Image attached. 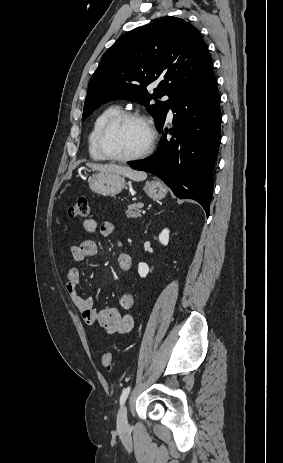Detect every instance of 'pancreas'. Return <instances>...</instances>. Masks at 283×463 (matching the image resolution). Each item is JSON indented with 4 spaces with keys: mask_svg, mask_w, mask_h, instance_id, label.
I'll list each match as a JSON object with an SVG mask.
<instances>
[{
    "mask_svg": "<svg viewBox=\"0 0 283 463\" xmlns=\"http://www.w3.org/2000/svg\"><path fill=\"white\" fill-rule=\"evenodd\" d=\"M143 207V203H134L128 206L125 211V214L128 218H137L140 217L141 208Z\"/></svg>",
    "mask_w": 283,
    "mask_h": 463,
    "instance_id": "pancreas-1",
    "label": "pancreas"
}]
</instances>
